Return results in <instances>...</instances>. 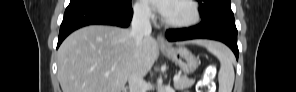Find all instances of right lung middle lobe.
I'll return each instance as SVG.
<instances>
[{
	"instance_id": "dd1d6c3e",
	"label": "right lung middle lobe",
	"mask_w": 296,
	"mask_h": 92,
	"mask_svg": "<svg viewBox=\"0 0 296 92\" xmlns=\"http://www.w3.org/2000/svg\"><path fill=\"white\" fill-rule=\"evenodd\" d=\"M113 2H116V3H122V2H125L126 0H111Z\"/></svg>"
}]
</instances>
